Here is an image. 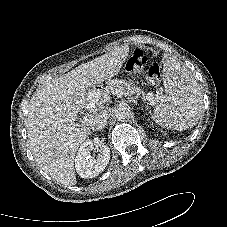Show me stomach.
Segmentation results:
<instances>
[{"label":"stomach","instance_id":"stomach-1","mask_svg":"<svg viewBox=\"0 0 227 227\" xmlns=\"http://www.w3.org/2000/svg\"><path fill=\"white\" fill-rule=\"evenodd\" d=\"M91 95L94 98H97L101 95L114 94L117 92L118 87L114 83H94L90 87Z\"/></svg>","mask_w":227,"mask_h":227}]
</instances>
